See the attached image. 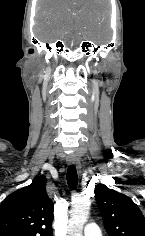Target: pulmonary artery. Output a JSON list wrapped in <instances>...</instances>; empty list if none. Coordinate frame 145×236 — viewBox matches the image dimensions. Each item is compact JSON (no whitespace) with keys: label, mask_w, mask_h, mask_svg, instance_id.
I'll list each match as a JSON object with an SVG mask.
<instances>
[{"label":"pulmonary artery","mask_w":145,"mask_h":236,"mask_svg":"<svg viewBox=\"0 0 145 236\" xmlns=\"http://www.w3.org/2000/svg\"><path fill=\"white\" fill-rule=\"evenodd\" d=\"M84 236H102L100 228L95 223H89L84 228Z\"/></svg>","instance_id":"obj_1"}]
</instances>
